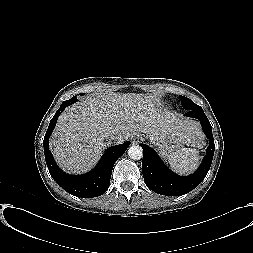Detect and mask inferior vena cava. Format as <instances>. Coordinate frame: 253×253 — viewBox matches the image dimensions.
<instances>
[{
	"mask_svg": "<svg viewBox=\"0 0 253 253\" xmlns=\"http://www.w3.org/2000/svg\"><path fill=\"white\" fill-rule=\"evenodd\" d=\"M110 139L113 141V143L120 144L123 141V136L120 133H115V134L113 133L110 135Z\"/></svg>",
	"mask_w": 253,
	"mask_h": 253,
	"instance_id": "1",
	"label": "inferior vena cava"
}]
</instances>
